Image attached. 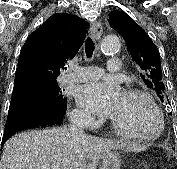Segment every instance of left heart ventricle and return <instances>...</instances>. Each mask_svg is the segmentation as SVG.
<instances>
[{"label": "left heart ventricle", "mask_w": 177, "mask_h": 169, "mask_svg": "<svg viewBox=\"0 0 177 169\" xmlns=\"http://www.w3.org/2000/svg\"><path fill=\"white\" fill-rule=\"evenodd\" d=\"M111 117L132 133H154L159 128L154 109L145 99L137 96L123 94Z\"/></svg>", "instance_id": "obj_1"}]
</instances>
